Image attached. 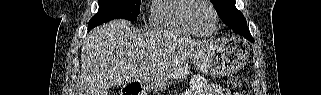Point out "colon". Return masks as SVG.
<instances>
[{"instance_id":"5ec220e1","label":"colon","mask_w":321,"mask_h":95,"mask_svg":"<svg viewBox=\"0 0 321 95\" xmlns=\"http://www.w3.org/2000/svg\"><path fill=\"white\" fill-rule=\"evenodd\" d=\"M228 84H229L230 87L238 88L242 84V79H241L240 76H237V75L232 76V77L229 78Z\"/></svg>"}]
</instances>
